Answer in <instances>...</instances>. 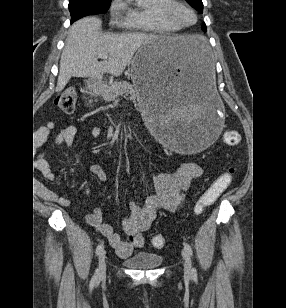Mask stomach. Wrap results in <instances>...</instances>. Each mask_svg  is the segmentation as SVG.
<instances>
[{"instance_id":"obj_1","label":"stomach","mask_w":286,"mask_h":308,"mask_svg":"<svg viewBox=\"0 0 286 308\" xmlns=\"http://www.w3.org/2000/svg\"><path fill=\"white\" fill-rule=\"evenodd\" d=\"M207 40L199 36H157L140 44L131 61V80L141 99L156 144L172 153H202L220 144L222 107L214 91L217 61ZM94 89V80L87 81Z\"/></svg>"}]
</instances>
